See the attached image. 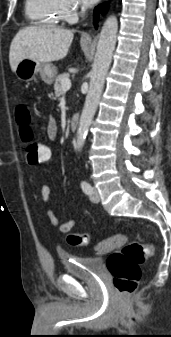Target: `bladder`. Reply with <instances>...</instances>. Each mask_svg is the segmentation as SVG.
Returning a JSON list of instances; mask_svg holds the SVG:
<instances>
[{
  "mask_svg": "<svg viewBox=\"0 0 171 337\" xmlns=\"http://www.w3.org/2000/svg\"><path fill=\"white\" fill-rule=\"evenodd\" d=\"M61 259L66 273L76 277L91 278L99 275L103 268V260L99 257L66 254Z\"/></svg>",
  "mask_w": 171,
  "mask_h": 337,
  "instance_id": "obj_1",
  "label": "bladder"
}]
</instances>
